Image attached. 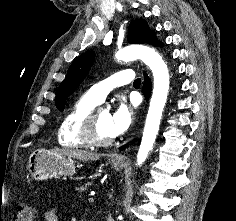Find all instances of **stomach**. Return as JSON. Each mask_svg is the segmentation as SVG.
<instances>
[{
	"label": "stomach",
	"mask_w": 236,
	"mask_h": 221,
	"mask_svg": "<svg viewBox=\"0 0 236 221\" xmlns=\"http://www.w3.org/2000/svg\"><path fill=\"white\" fill-rule=\"evenodd\" d=\"M111 165L114 170L123 168L122 163L112 162ZM27 171L35 180H45L58 176H72L76 172V166L70 157L37 150L28 159Z\"/></svg>",
	"instance_id": "obj_1"
}]
</instances>
